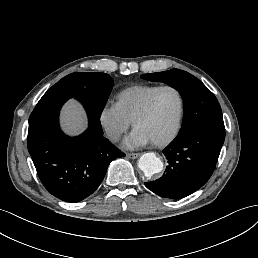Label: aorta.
<instances>
[{
  "label": "aorta",
  "mask_w": 258,
  "mask_h": 258,
  "mask_svg": "<svg viewBox=\"0 0 258 258\" xmlns=\"http://www.w3.org/2000/svg\"><path fill=\"white\" fill-rule=\"evenodd\" d=\"M138 165L147 177H151L163 170V162L155 153L143 154L139 159Z\"/></svg>",
  "instance_id": "obj_1"
}]
</instances>
